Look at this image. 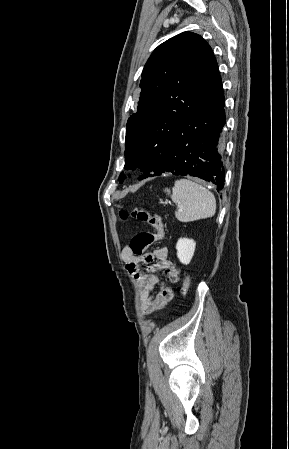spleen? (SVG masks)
Returning <instances> with one entry per match:
<instances>
[{"label":"spleen","mask_w":289,"mask_h":449,"mask_svg":"<svg viewBox=\"0 0 289 449\" xmlns=\"http://www.w3.org/2000/svg\"><path fill=\"white\" fill-rule=\"evenodd\" d=\"M164 191L170 194V189L166 188ZM171 199L177 206L175 216L181 222L210 218L216 212L213 193L187 179L175 181Z\"/></svg>","instance_id":"3e777b00"}]
</instances>
